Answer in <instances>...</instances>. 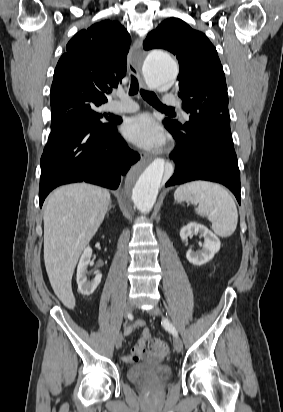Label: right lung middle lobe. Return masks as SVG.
I'll use <instances>...</instances> for the list:
<instances>
[{
    "mask_svg": "<svg viewBox=\"0 0 283 412\" xmlns=\"http://www.w3.org/2000/svg\"><path fill=\"white\" fill-rule=\"evenodd\" d=\"M101 103L79 102L70 106L63 113L52 115L51 132L58 129L73 130L83 123L96 126L109 125L115 116L98 111Z\"/></svg>",
    "mask_w": 283,
    "mask_h": 412,
    "instance_id": "1",
    "label": "right lung middle lobe"
}]
</instances>
